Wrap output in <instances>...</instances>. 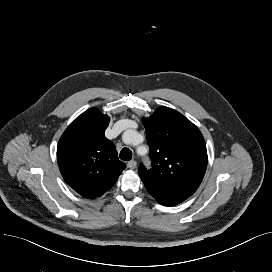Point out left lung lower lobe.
<instances>
[{
	"label": "left lung lower lobe",
	"mask_w": 272,
	"mask_h": 272,
	"mask_svg": "<svg viewBox=\"0 0 272 272\" xmlns=\"http://www.w3.org/2000/svg\"><path fill=\"white\" fill-rule=\"evenodd\" d=\"M148 192L162 205L164 206H174L178 203L183 202L189 196L182 193L171 191L167 189H162L154 186L144 184Z\"/></svg>",
	"instance_id": "left-lung-lower-lobe-1"
}]
</instances>
